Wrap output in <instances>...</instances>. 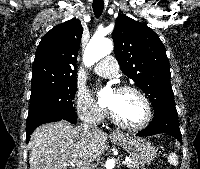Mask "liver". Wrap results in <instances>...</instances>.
Masks as SVG:
<instances>
[{
    "instance_id": "1",
    "label": "liver",
    "mask_w": 200,
    "mask_h": 169,
    "mask_svg": "<svg viewBox=\"0 0 200 169\" xmlns=\"http://www.w3.org/2000/svg\"><path fill=\"white\" fill-rule=\"evenodd\" d=\"M107 138L103 131H85L66 121L44 124L29 141L30 169H67L70 160L88 164L102 155Z\"/></svg>"
}]
</instances>
